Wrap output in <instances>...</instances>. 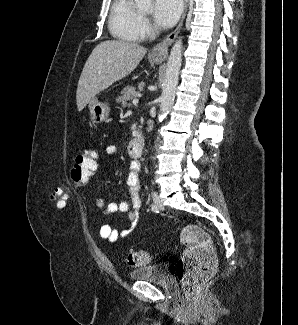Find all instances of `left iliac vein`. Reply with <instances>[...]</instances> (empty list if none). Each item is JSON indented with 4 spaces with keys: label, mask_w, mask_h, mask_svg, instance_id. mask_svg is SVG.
Returning a JSON list of instances; mask_svg holds the SVG:
<instances>
[{
    "label": "left iliac vein",
    "mask_w": 298,
    "mask_h": 325,
    "mask_svg": "<svg viewBox=\"0 0 298 325\" xmlns=\"http://www.w3.org/2000/svg\"><path fill=\"white\" fill-rule=\"evenodd\" d=\"M152 198H153V201H154L155 205L157 206L158 210H163L164 206H163L162 200L156 191H154L152 193Z\"/></svg>",
    "instance_id": "left-iliac-vein-1"
}]
</instances>
